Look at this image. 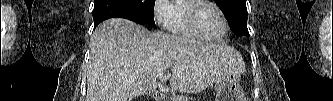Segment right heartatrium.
Listing matches in <instances>:
<instances>
[{"label":"right heart atrium","instance_id":"1","mask_svg":"<svg viewBox=\"0 0 333 101\" xmlns=\"http://www.w3.org/2000/svg\"><path fill=\"white\" fill-rule=\"evenodd\" d=\"M172 3L168 0H156L153 5V16L157 25L168 28L172 16Z\"/></svg>","mask_w":333,"mask_h":101}]
</instances>
